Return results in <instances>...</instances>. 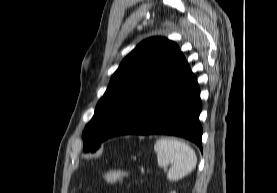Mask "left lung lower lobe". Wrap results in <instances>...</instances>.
Returning <instances> with one entry per match:
<instances>
[{"label":"left lung lower lobe","mask_w":277,"mask_h":193,"mask_svg":"<svg viewBox=\"0 0 277 193\" xmlns=\"http://www.w3.org/2000/svg\"><path fill=\"white\" fill-rule=\"evenodd\" d=\"M202 110L197 79L188 64L136 101L106 134L104 140L127 134H165L184 137L202 150Z\"/></svg>","instance_id":"0a47b994"}]
</instances>
